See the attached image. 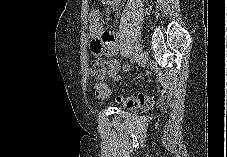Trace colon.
Segmentation results:
<instances>
[{"label":"colon","mask_w":227,"mask_h":157,"mask_svg":"<svg viewBox=\"0 0 227 157\" xmlns=\"http://www.w3.org/2000/svg\"><path fill=\"white\" fill-rule=\"evenodd\" d=\"M105 71L104 61L97 58L91 62L90 72L95 77H101ZM111 92L106 83L99 82L95 85V95L100 100L109 98ZM117 101L123 103L127 108H140L154 104L155 99L153 96L146 94H138L135 96L118 97Z\"/></svg>","instance_id":"colon-1"}]
</instances>
